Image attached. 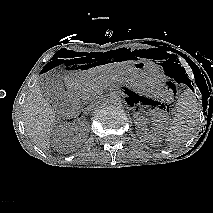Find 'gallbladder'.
<instances>
[{
	"label": "gallbladder",
	"mask_w": 213,
	"mask_h": 213,
	"mask_svg": "<svg viewBox=\"0 0 213 213\" xmlns=\"http://www.w3.org/2000/svg\"><path fill=\"white\" fill-rule=\"evenodd\" d=\"M38 85L43 97L55 111L61 113L70 109L62 77L59 73L53 71L42 75L38 80Z\"/></svg>",
	"instance_id": "gallbladder-1"
}]
</instances>
